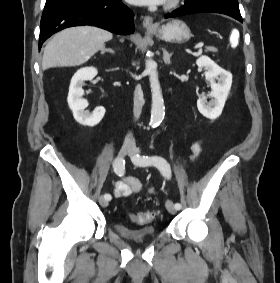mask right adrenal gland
I'll list each match as a JSON object with an SVG mask.
<instances>
[{
  "instance_id": "right-adrenal-gland-1",
  "label": "right adrenal gland",
  "mask_w": 280,
  "mask_h": 283,
  "mask_svg": "<svg viewBox=\"0 0 280 283\" xmlns=\"http://www.w3.org/2000/svg\"><path fill=\"white\" fill-rule=\"evenodd\" d=\"M106 52H109V53H112V54H114L115 52L111 49V48H103L102 50H101V54H104V53H106Z\"/></svg>"
}]
</instances>
